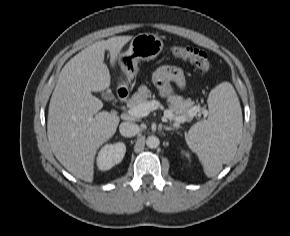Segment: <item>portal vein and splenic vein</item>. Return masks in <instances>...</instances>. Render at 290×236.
I'll list each match as a JSON object with an SVG mask.
<instances>
[{
	"mask_svg": "<svg viewBox=\"0 0 290 236\" xmlns=\"http://www.w3.org/2000/svg\"><path fill=\"white\" fill-rule=\"evenodd\" d=\"M159 106H160V103L158 101L152 100L147 103H142L133 108H130L128 110V114L130 116L137 117V118L145 117L149 115L150 111L156 110ZM192 111H193V114H195L196 112L199 111V107H194ZM203 114L204 116H206L207 111L203 110ZM164 118L174 119L175 125H178L180 123H184L187 121L186 117L184 116L175 117L174 114L169 109L164 110Z\"/></svg>",
	"mask_w": 290,
	"mask_h": 236,
	"instance_id": "1",
	"label": "portal vein and splenic vein"
}]
</instances>
